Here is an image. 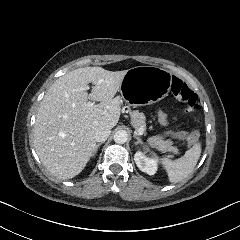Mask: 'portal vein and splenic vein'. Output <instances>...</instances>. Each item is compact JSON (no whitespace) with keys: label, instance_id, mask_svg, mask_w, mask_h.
Here are the masks:
<instances>
[{"label":"portal vein and splenic vein","instance_id":"obj_1","mask_svg":"<svg viewBox=\"0 0 240 240\" xmlns=\"http://www.w3.org/2000/svg\"><path fill=\"white\" fill-rule=\"evenodd\" d=\"M89 89V88H88ZM91 106L93 105L92 102H88ZM138 135H142L144 133V128L143 127H138L137 132Z\"/></svg>","mask_w":240,"mask_h":240}]
</instances>
